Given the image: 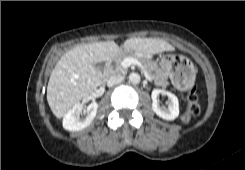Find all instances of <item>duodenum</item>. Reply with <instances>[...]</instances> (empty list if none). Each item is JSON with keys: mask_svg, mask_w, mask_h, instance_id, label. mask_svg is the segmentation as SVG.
Masks as SVG:
<instances>
[{"mask_svg": "<svg viewBox=\"0 0 245 170\" xmlns=\"http://www.w3.org/2000/svg\"><path fill=\"white\" fill-rule=\"evenodd\" d=\"M114 71L112 69V66H111V58H109V60L107 61V64H106V67H105V70H104V76L106 78H111L114 76Z\"/></svg>", "mask_w": 245, "mask_h": 170, "instance_id": "duodenum-1", "label": "duodenum"}]
</instances>
